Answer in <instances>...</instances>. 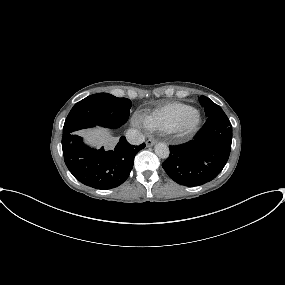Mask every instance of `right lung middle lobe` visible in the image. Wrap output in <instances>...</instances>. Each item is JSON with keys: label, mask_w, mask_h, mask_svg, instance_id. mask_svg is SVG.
I'll return each mask as SVG.
<instances>
[{"label": "right lung middle lobe", "mask_w": 285, "mask_h": 285, "mask_svg": "<svg viewBox=\"0 0 285 285\" xmlns=\"http://www.w3.org/2000/svg\"><path fill=\"white\" fill-rule=\"evenodd\" d=\"M131 101L108 93L90 95L77 102L68 114L63 136L96 125L119 128L129 118Z\"/></svg>", "instance_id": "1"}]
</instances>
